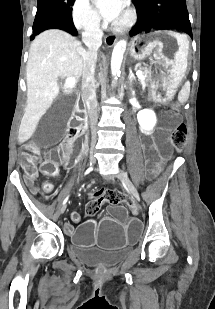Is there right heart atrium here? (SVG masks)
<instances>
[{"label":"right heart atrium","mask_w":215,"mask_h":309,"mask_svg":"<svg viewBox=\"0 0 215 309\" xmlns=\"http://www.w3.org/2000/svg\"><path fill=\"white\" fill-rule=\"evenodd\" d=\"M77 4L74 9L75 29L91 34L100 29L99 15L91 8L89 0H75Z\"/></svg>","instance_id":"1"}]
</instances>
